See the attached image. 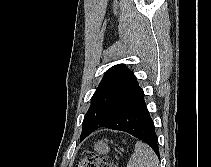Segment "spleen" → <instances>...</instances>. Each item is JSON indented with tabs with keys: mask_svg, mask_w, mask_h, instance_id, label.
Listing matches in <instances>:
<instances>
[{
	"mask_svg": "<svg viewBox=\"0 0 211 167\" xmlns=\"http://www.w3.org/2000/svg\"><path fill=\"white\" fill-rule=\"evenodd\" d=\"M127 167H159V160L148 145L138 141Z\"/></svg>",
	"mask_w": 211,
	"mask_h": 167,
	"instance_id": "3e777b00",
	"label": "spleen"
}]
</instances>
